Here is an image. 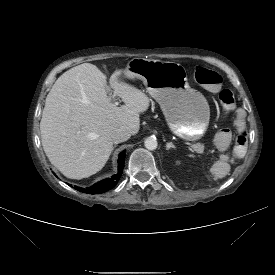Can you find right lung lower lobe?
I'll use <instances>...</instances> for the list:
<instances>
[{"label":"right lung lower lobe","instance_id":"1","mask_svg":"<svg viewBox=\"0 0 275 275\" xmlns=\"http://www.w3.org/2000/svg\"><path fill=\"white\" fill-rule=\"evenodd\" d=\"M124 159H125V151L120 153L119 158H118L119 172L117 175L113 176L112 178H107L105 180H102L87 189L79 188L76 186L74 188L81 192L88 193V194H100V193H103V192H106V191L112 189L113 187L116 186L117 181L121 177V174H122V171L124 168Z\"/></svg>","mask_w":275,"mask_h":275}]
</instances>
